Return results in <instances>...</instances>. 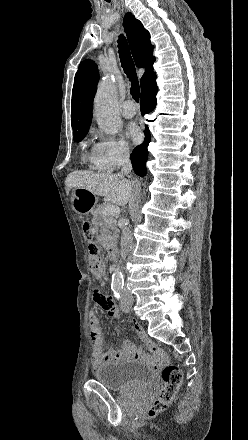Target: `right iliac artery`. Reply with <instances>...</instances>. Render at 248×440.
I'll return each instance as SVG.
<instances>
[{
    "label": "right iliac artery",
    "instance_id": "82829eb1",
    "mask_svg": "<svg viewBox=\"0 0 248 440\" xmlns=\"http://www.w3.org/2000/svg\"><path fill=\"white\" fill-rule=\"evenodd\" d=\"M113 290H119V288H115V289H113Z\"/></svg>",
    "mask_w": 248,
    "mask_h": 440
}]
</instances>
